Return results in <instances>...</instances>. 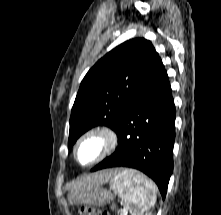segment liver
I'll return each mask as SVG.
<instances>
[{
	"instance_id": "6515ba94",
	"label": "liver",
	"mask_w": 221,
	"mask_h": 215,
	"mask_svg": "<svg viewBox=\"0 0 221 215\" xmlns=\"http://www.w3.org/2000/svg\"><path fill=\"white\" fill-rule=\"evenodd\" d=\"M116 174L114 170H103L88 176H85L81 179L74 180L70 184H67V188L71 190H77L81 188H88L97 185H102Z\"/></svg>"
}]
</instances>
